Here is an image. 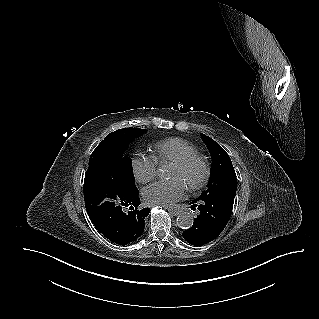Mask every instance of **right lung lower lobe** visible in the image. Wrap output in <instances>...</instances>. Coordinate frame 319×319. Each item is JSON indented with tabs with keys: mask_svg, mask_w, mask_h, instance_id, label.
<instances>
[{
	"mask_svg": "<svg viewBox=\"0 0 319 319\" xmlns=\"http://www.w3.org/2000/svg\"><path fill=\"white\" fill-rule=\"evenodd\" d=\"M83 190L88 216L107 239L126 245L142 235L150 209L139 207V191L125 182L120 163L91 165Z\"/></svg>",
	"mask_w": 319,
	"mask_h": 319,
	"instance_id": "98d812e1",
	"label": "right lung lower lobe"
}]
</instances>
